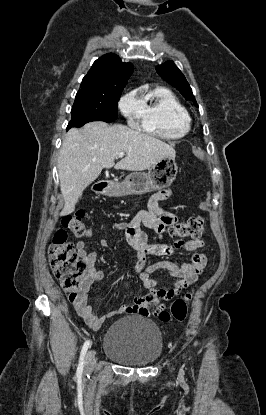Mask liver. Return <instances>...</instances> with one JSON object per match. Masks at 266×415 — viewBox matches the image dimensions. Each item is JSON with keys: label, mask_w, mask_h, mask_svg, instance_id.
<instances>
[{"label": "liver", "mask_w": 266, "mask_h": 415, "mask_svg": "<svg viewBox=\"0 0 266 415\" xmlns=\"http://www.w3.org/2000/svg\"><path fill=\"white\" fill-rule=\"evenodd\" d=\"M120 152L126 157L115 164ZM174 148L165 142L124 125L96 121L66 134L58 158L60 190L64 199L61 216L75 210L85 188L104 168L129 171L150 169L164 157L175 158Z\"/></svg>", "instance_id": "1"}]
</instances>
